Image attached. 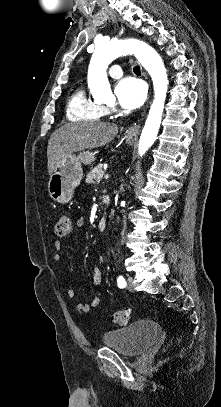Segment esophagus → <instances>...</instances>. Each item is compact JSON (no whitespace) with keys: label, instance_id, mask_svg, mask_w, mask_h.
<instances>
[{"label":"esophagus","instance_id":"esophagus-1","mask_svg":"<svg viewBox=\"0 0 221 407\" xmlns=\"http://www.w3.org/2000/svg\"><path fill=\"white\" fill-rule=\"evenodd\" d=\"M109 15H110L112 21L116 22V17H115L111 12H109ZM139 130H140V125H136V124H135V125L131 126V127L127 130V135H128L129 137L136 136V135L139 133Z\"/></svg>","mask_w":221,"mask_h":407}]
</instances>
